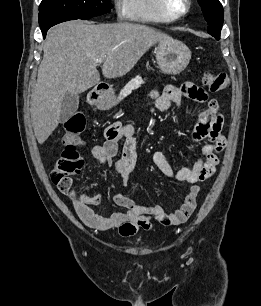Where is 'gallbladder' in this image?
Masks as SVG:
<instances>
[{"label": "gallbladder", "instance_id": "obj_1", "mask_svg": "<svg viewBox=\"0 0 261 306\" xmlns=\"http://www.w3.org/2000/svg\"><path fill=\"white\" fill-rule=\"evenodd\" d=\"M79 106V95L66 93L60 109V122L64 123L77 111Z\"/></svg>", "mask_w": 261, "mask_h": 306}]
</instances>
